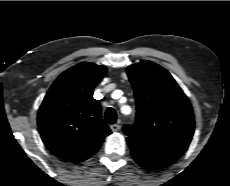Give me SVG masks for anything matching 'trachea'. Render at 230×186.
Masks as SVG:
<instances>
[{
  "instance_id": "trachea-1",
  "label": "trachea",
  "mask_w": 230,
  "mask_h": 186,
  "mask_svg": "<svg viewBox=\"0 0 230 186\" xmlns=\"http://www.w3.org/2000/svg\"><path fill=\"white\" fill-rule=\"evenodd\" d=\"M117 120L116 111L113 108H107L105 111V121L108 124H115Z\"/></svg>"
}]
</instances>
